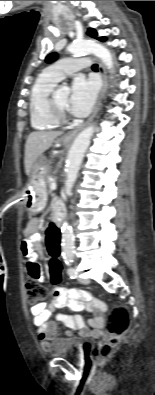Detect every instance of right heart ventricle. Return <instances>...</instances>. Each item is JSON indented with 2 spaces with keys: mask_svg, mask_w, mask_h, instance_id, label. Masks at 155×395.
I'll use <instances>...</instances> for the list:
<instances>
[{
  "mask_svg": "<svg viewBox=\"0 0 155 395\" xmlns=\"http://www.w3.org/2000/svg\"><path fill=\"white\" fill-rule=\"evenodd\" d=\"M58 81L46 72L39 75L33 84L29 97L30 123L35 130H51L58 127L48 110V98Z\"/></svg>",
  "mask_w": 155,
  "mask_h": 395,
  "instance_id": "1",
  "label": "right heart ventricle"
}]
</instances>
